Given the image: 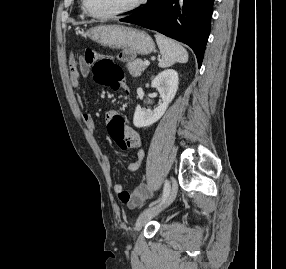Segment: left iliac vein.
I'll return each mask as SVG.
<instances>
[{
	"label": "left iliac vein",
	"mask_w": 286,
	"mask_h": 269,
	"mask_svg": "<svg viewBox=\"0 0 286 269\" xmlns=\"http://www.w3.org/2000/svg\"><path fill=\"white\" fill-rule=\"evenodd\" d=\"M178 190V185L175 180H173L172 187L170 189V193L165 200L164 204L160 207L153 208L147 211H144L139 215L136 221L135 230L139 231L149 220L153 217L157 216L161 211L167 208L175 199Z\"/></svg>",
	"instance_id": "1"
}]
</instances>
